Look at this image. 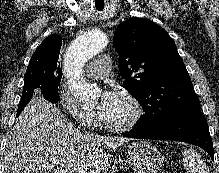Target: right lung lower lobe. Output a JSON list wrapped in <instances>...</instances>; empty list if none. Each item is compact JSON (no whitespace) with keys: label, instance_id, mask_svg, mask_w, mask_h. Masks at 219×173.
Wrapping results in <instances>:
<instances>
[{"label":"right lung lower lobe","instance_id":"right-lung-lower-lobe-1","mask_svg":"<svg viewBox=\"0 0 219 173\" xmlns=\"http://www.w3.org/2000/svg\"><path fill=\"white\" fill-rule=\"evenodd\" d=\"M33 94H31V95H22L20 104L18 106L17 116L21 113V111L24 109V107L27 105V103L31 100Z\"/></svg>","mask_w":219,"mask_h":173}]
</instances>
